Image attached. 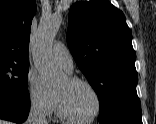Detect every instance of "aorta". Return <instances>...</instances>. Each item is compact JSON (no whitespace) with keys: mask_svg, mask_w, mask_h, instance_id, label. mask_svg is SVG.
I'll list each match as a JSON object with an SVG mask.
<instances>
[{"mask_svg":"<svg viewBox=\"0 0 156 124\" xmlns=\"http://www.w3.org/2000/svg\"><path fill=\"white\" fill-rule=\"evenodd\" d=\"M61 24L60 16L41 20L33 46V61L41 82L49 85L62 74V69L55 65L52 56V43Z\"/></svg>","mask_w":156,"mask_h":124,"instance_id":"1","label":"aorta"}]
</instances>
